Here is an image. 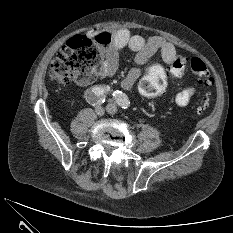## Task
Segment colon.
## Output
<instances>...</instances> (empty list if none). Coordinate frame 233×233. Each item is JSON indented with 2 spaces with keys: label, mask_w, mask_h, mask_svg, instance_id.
I'll return each instance as SVG.
<instances>
[{
  "label": "colon",
  "mask_w": 233,
  "mask_h": 233,
  "mask_svg": "<svg viewBox=\"0 0 233 233\" xmlns=\"http://www.w3.org/2000/svg\"><path fill=\"white\" fill-rule=\"evenodd\" d=\"M110 43L111 36L107 33L94 37L74 36L51 61L50 77L63 86L71 82H90L96 75L97 65L107 52ZM188 67L197 76L201 85L205 87L213 85L212 73L203 60L198 57L188 59L178 55L168 68L159 64L149 65L140 82V93L150 98L160 96L165 90L168 73L174 77H181ZM209 103L210 96L207 95L198 108V113H203Z\"/></svg>",
  "instance_id": "colon-1"
}]
</instances>
